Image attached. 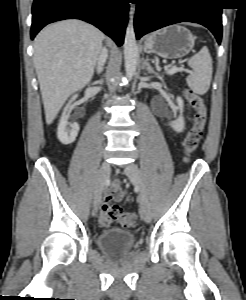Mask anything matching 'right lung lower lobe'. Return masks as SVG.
<instances>
[{
    "mask_svg": "<svg viewBox=\"0 0 246 300\" xmlns=\"http://www.w3.org/2000/svg\"><path fill=\"white\" fill-rule=\"evenodd\" d=\"M128 7L127 0H34L31 39L49 23L76 18L95 25L121 46Z\"/></svg>",
    "mask_w": 246,
    "mask_h": 300,
    "instance_id": "right-lung-lower-lobe-1",
    "label": "right lung lower lobe"
}]
</instances>
